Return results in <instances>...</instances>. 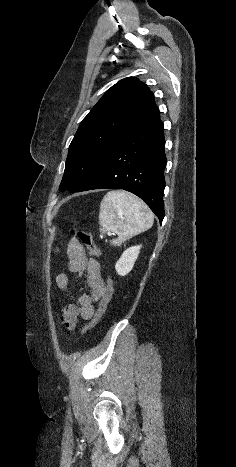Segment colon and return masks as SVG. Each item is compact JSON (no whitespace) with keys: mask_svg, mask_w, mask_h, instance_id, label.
Returning <instances> with one entry per match:
<instances>
[{"mask_svg":"<svg viewBox=\"0 0 236 467\" xmlns=\"http://www.w3.org/2000/svg\"><path fill=\"white\" fill-rule=\"evenodd\" d=\"M72 234L78 238V240L88 249L89 253L92 256H94V257H99L100 256V251H99L97 245L94 243L92 234L89 231H86V230H72ZM111 293H112V282L109 279L108 282H107V291H106L105 295L103 296V298L101 299V301L99 303V307H98L93 319L88 324L83 326V328L81 330V332L83 334L90 331L91 329H93L98 324V322L100 321V319L102 318V316H103V314H104V312L106 310L107 304H108V302L110 300V297H111Z\"/></svg>","mask_w":236,"mask_h":467,"instance_id":"obj_1","label":"colon"}]
</instances>
